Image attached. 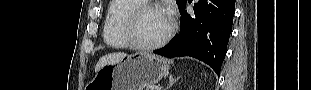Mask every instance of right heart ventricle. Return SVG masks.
<instances>
[{"instance_id":"1","label":"right heart ventricle","mask_w":311,"mask_h":90,"mask_svg":"<svg viewBox=\"0 0 311 90\" xmlns=\"http://www.w3.org/2000/svg\"><path fill=\"white\" fill-rule=\"evenodd\" d=\"M144 4L140 0H113L110 2L103 26L105 43L112 48H128L130 44L124 33V24L128 14Z\"/></svg>"}]
</instances>
